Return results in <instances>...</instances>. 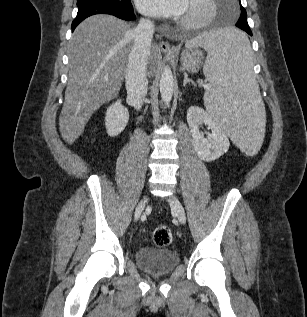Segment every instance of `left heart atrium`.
I'll use <instances>...</instances> for the list:
<instances>
[{
	"label": "left heart atrium",
	"instance_id": "obj_1",
	"mask_svg": "<svg viewBox=\"0 0 307 317\" xmlns=\"http://www.w3.org/2000/svg\"><path fill=\"white\" fill-rule=\"evenodd\" d=\"M138 9L154 17H178L185 13L189 0H136Z\"/></svg>",
	"mask_w": 307,
	"mask_h": 317
}]
</instances>
